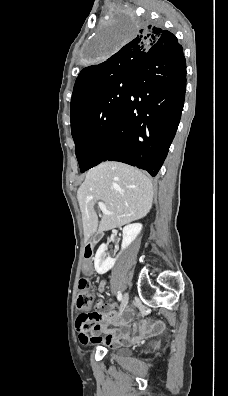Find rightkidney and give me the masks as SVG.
<instances>
[{
  "mask_svg": "<svg viewBox=\"0 0 228 396\" xmlns=\"http://www.w3.org/2000/svg\"><path fill=\"white\" fill-rule=\"evenodd\" d=\"M142 230V224L135 223L129 224L123 228V240H122V251L125 250L138 236ZM107 246L101 244L96 252L94 258V267L98 274H105L111 268H113L117 258H111L106 256ZM118 257V256H117Z\"/></svg>",
  "mask_w": 228,
  "mask_h": 396,
  "instance_id": "1",
  "label": "right kidney"
}]
</instances>
